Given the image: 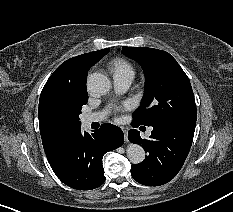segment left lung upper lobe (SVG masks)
<instances>
[{
  "instance_id": "obj_1",
  "label": "left lung upper lobe",
  "mask_w": 233,
  "mask_h": 212,
  "mask_svg": "<svg viewBox=\"0 0 233 212\" xmlns=\"http://www.w3.org/2000/svg\"><path fill=\"white\" fill-rule=\"evenodd\" d=\"M122 52L139 62L146 75L145 95L133 113L136 125L162 122L195 127L196 105L189 78L167 52L123 46Z\"/></svg>"
}]
</instances>
